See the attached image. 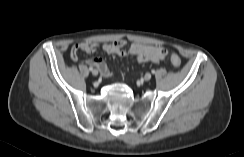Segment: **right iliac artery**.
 Returning <instances> with one entry per match:
<instances>
[{
    "mask_svg": "<svg viewBox=\"0 0 244 157\" xmlns=\"http://www.w3.org/2000/svg\"><path fill=\"white\" fill-rule=\"evenodd\" d=\"M89 70L93 72L94 71V68L93 67H90Z\"/></svg>",
    "mask_w": 244,
    "mask_h": 157,
    "instance_id": "obj_1",
    "label": "right iliac artery"
}]
</instances>
